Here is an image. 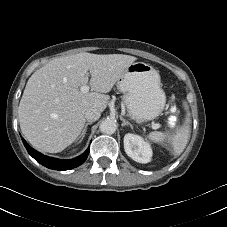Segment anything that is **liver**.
Segmentation results:
<instances>
[{
    "instance_id": "obj_1",
    "label": "liver",
    "mask_w": 227,
    "mask_h": 227,
    "mask_svg": "<svg viewBox=\"0 0 227 227\" xmlns=\"http://www.w3.org/2000/svg\"><path fill=\"white\" fill-rule=\"evenodd\" d=\"M137 58L123 54L87 52L59 57L36 70L27 81L20 104V128L38 150L58 153L80 136L85 112H103L109 93L126 68ZM88 71L91 78L89 81ZM89 82L91 91L82 93Z\"/></svg>"
}]
</instances>
